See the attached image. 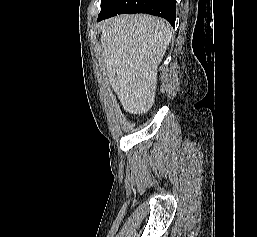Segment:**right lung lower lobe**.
Here are the masks:
<instances>
[{"label": "right lung lower lobe", "mask_w": 257, "mask_h": 237, "mask_svg": "<svg viewBox=\"0 0 257 237\" xmlns=\"http://www.w3.org/2000/svg\"><path fill=\"white\" fill-rule=\"evenodd\" d=\"M123 13H147L175 25L176 0H113L101 9L98 21Z\"/></svg>", "instance_id": "right-lung-lower-lobe-1"}]
</instances>
